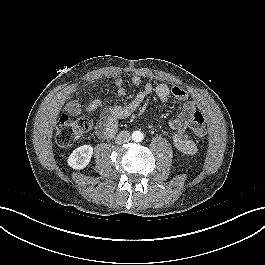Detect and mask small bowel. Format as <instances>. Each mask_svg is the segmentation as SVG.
Listing matches in <instances>:
<instances>
[{
  "instance_id": "1",
  "label": "small bowel",
  "mask_w": 265,
  "mask_h": 265,
  "mask_svg": "<svg viewBox=\"0 0 265 265\" xmlns=\"http://www.w3.org/2000/svg\"><path fill=\"white\" fill-rule=\"evenodd\" d=\"M131 82L138 88L137 93L129 102L113 106L101 113L96 127L97 135L101 138H112L118 129L119 121L135 112L145 102L146 98L153 93L162 102H166L170 97H174L182 103V108L178 115L170 120V127L174 131L172 136L173 145L179 152L185 155H194L197 151V146L187 134V127L193 114L197 111L198 106L195 101L188 100L187 91L180 86H169L165 83L156 86L151 82L143 83L139 75H133ZM114 85L118 95L123 96L126 94L123 80L120 77L114 78ZM73 93V89L66 91V95L69 97ZM101 106L102 100L95 98L85 107V111L93 112ZM65 108L72 115H78L82 110L81 104L76 99L68 100Z\"/></svg>"
}]
</instances>
